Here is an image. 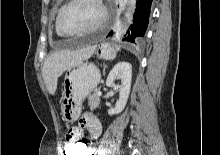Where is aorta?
Segmentation results:
<instances>
[{
    "label": "aorta",
    "mask_w": 220,
    "mask_h": 155,
    "mask_svg": "<svg viewBox=\"0 0 220 155\" xmlns=\"http://www.w3.org/2000/svg\"><path fill=\"white\" fill-rule=\"evenodd\" d=\"M136 1L135 0H128L127 1V12L125 13V20H130L132 16L133 9L135 7Z\"/></svg>",
    "instance_id": "1"
}]
</instances>
